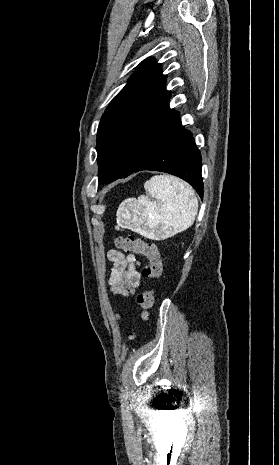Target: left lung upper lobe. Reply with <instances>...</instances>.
<instances>
[{
    "mask_svg": "<svg viewBox=\"0 0 279 465\" xmlns=\"http://www.w3.org/2000/svg\"><path fill=\"white\" fill-rule=\"evenodd\" d=\"M160 64L148 59L114 97L97 133L100 182L127 177L180 122Z\"/></svg>",
    "mask_w": 279,
    "mask_h": 465,
    "instance_id": "1",
    "label": "left lung upper lobe"
}]
</instances>
